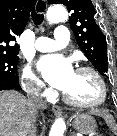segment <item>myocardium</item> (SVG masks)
Here are the masks:
<instances>
[{"label": "myocardium", "mask_w": 117, "mask_h": 136, "mask_svg": "<svg viewBox=\"0 0 117 136\" xmlns=\"http://www.w3.org/2000/svg\"><path fill=\"white\" fill-rule=\"evenodd\" d=\"M76 71L91 73L96 78L100 88V96L96 101H93V102H88V103L78 102L73 100L71 97H69L64 91L63 99L65 100V102H67L68 104L74 107L82 108V109H91V108H96L103 105L107 99V86L102 75L96 69L89 66H80L76 69Z\"/></svg>", "instance_id": "myocardium-1"}]
</instances>
